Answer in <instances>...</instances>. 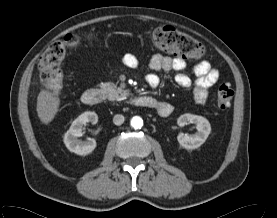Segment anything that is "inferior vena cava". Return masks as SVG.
I'll list each match as a JSON object with an SVG mask.
<instances>
[{
	"instance_id": "602c4592",
	"label": "inferior vena cava",
	"mask_w": 277,
	"mask_h": 218,
	"mask_svg": "<svg viewBox=\"0 0 277 218\" xmlns=\"http://www.w3.org/2000/svg\"><path fill=\"white\" fill-rule=\"evenodd\" d=\"M124 116L123 115H121V114H116L114 117H113V123L115 124V125H121V124H123V122H124Z\"/></svg>"
}]
</instances>
